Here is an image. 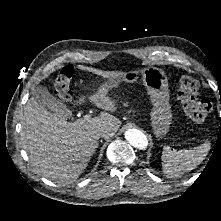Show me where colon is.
I'll return each mask as SVG.
<instances>
[{
    "mask_svg": "<svg viewBox=\"0 0 221 221\" xmlns=\"http://www.w3.org/2000/svg\"><path fill=\"white\" fill-rule=\"evenodd\" d=\"M74 74V67L66 65L62 68L54 84V93L62 100L71 97V80ZM199 84L197 80L189 76H183L177 83V98L186 114L194 122L206 120L212 110V103L207 98H199Z\"/></svg>",
    "mask_w": 221,
    "mask_h": 221,
    "instance_id": "1",
    "label": "colon"
}]
</instances>
